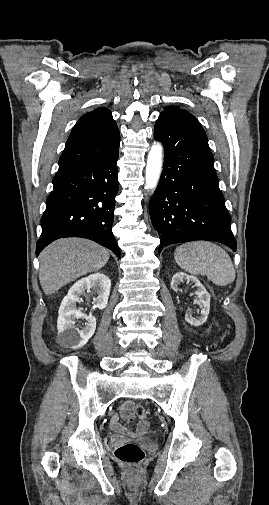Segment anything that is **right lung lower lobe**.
I'll return each instance as SVG.
<instances>
[{
  "label": "right lung lower lobe",
  "instance_id": "obj_1",
  "mask_svg": "<svg viewBox=\"0 0 269 505\" xmlns=\"http://www.w3.org/2000/svg\"><path fill=\"white\" fill-rule=\"evenodd\" d=\"M118 156L119 145L101 156L58 170L42 215L36 255L56 239L82 237L121 257L111 231L118 192Z\"/></svg>",
  "mask_w": 269,
  "mask_h": 505
}]
</instances>
